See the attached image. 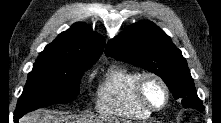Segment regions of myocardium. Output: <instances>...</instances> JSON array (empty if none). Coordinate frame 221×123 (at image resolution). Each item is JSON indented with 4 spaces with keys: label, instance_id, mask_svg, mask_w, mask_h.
<instances>
[{
    "label": "myocardium",
    "instance_id": "obj_1",
    "mask_svg": "<svg viewBox=\"0 0 221 123\" xmlns=\"http://www.w3.org/2000/svg\"><path fill=\"white\" fill-rule=\"evenodd\" d=\"M149 80L156 81L164 91L165 99L161 106L152 105L146 98L145 84ZM135 95L139 103L150 112H157L163 110L164 108H166L170 100V90L165 80L160 75L150 71L139 74L135 82Z\"/></svg>",
    "mask_w": 221,
    "mask_h": 123
}]
</instances>
